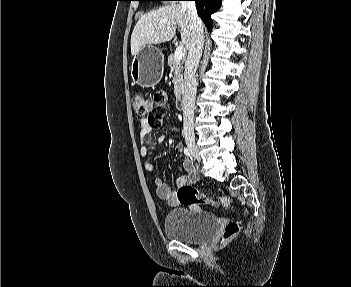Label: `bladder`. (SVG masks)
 <instances>
[{
    "instance_id": "obj_1",
    "label": "bladder",
    "mask_w": 351,
    "mask_h": 287,
    "mask_svg": "<svg viewBox=\"0 0 351 287\" xmlns=\"http://www.w3.org/2000/svg\"><path fill=\"white\" fill-rule=\"evenodd\" d=\"M218 224V218L209 211L180 208L171 210L166 215L164 233L169 239L199 244L214 235Z\"/></svg>"
}]
</instances>
